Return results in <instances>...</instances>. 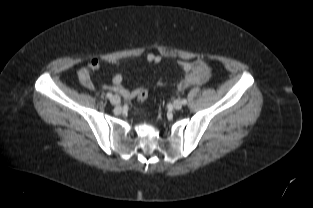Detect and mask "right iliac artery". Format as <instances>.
Listing matches in <instances>:
<instances>
[{
	"label": "right iliac artery",
	"instance_id": "82829eb1",
	"mask_svg": "<svg viewBox=\"0 0 313 208\" xmlns=\"http://www.w3.org/2000/svg\"><path fill=\"white\" fill-rule=\"evenodd\" d=\"M106 96H107V98H109V99L113 97L112 93H107Z\"/></svg>",
	"mask_w": 313,
	"mask_h": 208
}]
</instances>
